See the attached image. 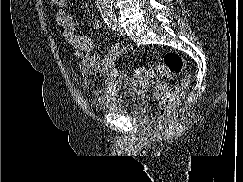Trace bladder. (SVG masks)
<instances>
[{
  "mask_svg": "<svg viewBox=\"0 0 243 182\" xmlns=\"http://www.w3.org/2000/svg\"><path fill=\"white\" fill-rule=\"evenodd\" d=\"M93 105L101 113H119L136 116L144 112L146 100L142 95L129 94L125 97L102 98L94 101Z\"/></svg>",
  "mask_w": 243,
  "mask_h": 182,
  "instance_id": "bladder-1",
  "label": "bladder"
}]
</instances>
